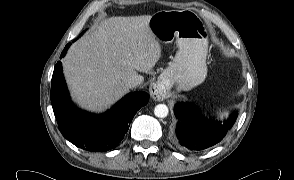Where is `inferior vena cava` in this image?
<instances>
[{"instance_id": "1", "label": "inferior vena cava", "mask_w": 294, "mask_h": 180, "mask_svg": "<svg viewBox=\"0 0 294 180\" xmlns=\"http://www.w3.org/2000/svg\"><path fill=\"white\" fill-rule=\"evenodd\" d=\"M144 82V77L139 74L131 76L127 81V86L132 89L140 86Z\"/></svg>"}]
</instances>
